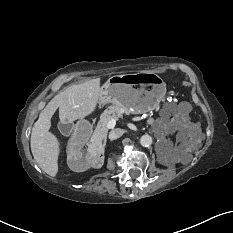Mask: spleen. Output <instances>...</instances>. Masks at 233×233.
<instances>
[{
	"label": "spleen",
	"instance_id": "3e777b00",
	"mask_svg": "<svg viewBox=\"0 0 233 233\" xmlns=\"http://www.w3.org/2000/svg\"><path fill=\"white\" fill-rule=\"evenodd\" d=\"M177 112H178V114H177L176 116L184 115V114H182L180 107L177 109ZM199 125H200V124L197 123V124H195L194 126L197 127V128H199Z\"/></svg>",
	"mask_w": 233,
	"mask_h": 233
}]
</instances>
